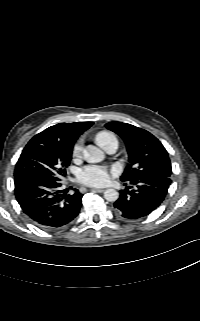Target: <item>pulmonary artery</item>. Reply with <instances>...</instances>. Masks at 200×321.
<instances>
[{
  "mask_svg": "<svg viewBox=\"0 0 200 321\" xmlns=\"http://www.w3.org/2000/svg\"><path fill=\"white\" fill-rule=\"evenodd\" d=\"M105 148L107 151L113 152L116 149V144L107 145Z\"/></svg>",
  "mask_w": 200,
  "mask_h": 321,
  "instance_id": "e3ab8cb5",
  "label": "pulmonary artery"
}]
</instances>
